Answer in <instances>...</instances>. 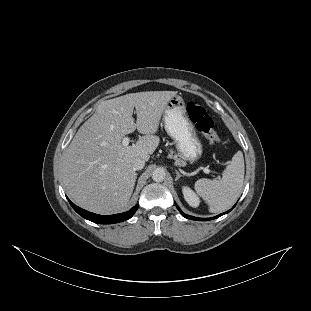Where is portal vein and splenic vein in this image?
I'll return each mask as SVG.
<instances>
[{
    "label": "portal vein and splenic vein",
    "mask_w": 311,
    "mask_h": 311,
    "mask_svg": "<svg viewBox=\"0 0 311 311\" xmlns=\"http://www.w3.org/2000/svg\"><path fill=\"white\" fill-rule=\"evenodd\" d=\"M129 143H130V138H128V137L123 138L122 145L124 147H127L129 145ZM202 170H203V172L205 174H209L210 173V170L208 168H206V167L202 168Z\"/></svg>",
    "instance_id": "obj_1"
}]
</instances>
